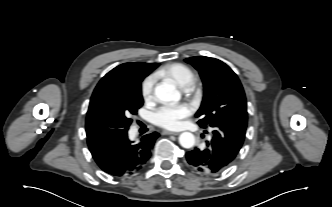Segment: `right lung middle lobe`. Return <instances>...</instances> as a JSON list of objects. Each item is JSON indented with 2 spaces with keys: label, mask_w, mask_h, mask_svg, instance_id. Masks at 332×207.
<instances>
[{
  "label": "right lung middle lobe",
  "mask_w": 332,
  "mask_h": 207,
  "mask_svg": "<svg viewBox=\"0 0 332 207\" xmlns=\"http://www.w3.org/2000/svg\"><path fill=\"white\" fill-rule=\"evenodd\" d=\"M146 75L114 79L96 87L86 118L87 137L106 131H126L143 105L141 82Z\"/></svg>",
  "instance_id": "dd1d6c3e"
}]
</instances>
